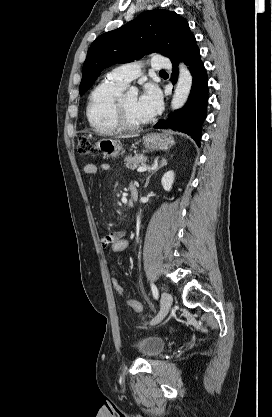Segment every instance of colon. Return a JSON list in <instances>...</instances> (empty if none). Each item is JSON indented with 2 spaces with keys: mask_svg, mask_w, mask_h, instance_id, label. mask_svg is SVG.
<instances>
[{
  "mask_svg": "<svg viewBox=\"0 0 272 417\" xmlns=\"http://www.w3.org/2000/svg\"><path fill=\"white\" fill-rule=\"evenodd\" d=\"M95 146L88 137H81L78 142V152L81 155H94ZM129 246V241L126 237H117L113 239L108 245L109 254H119L127 250ZM113 290L119 295L123 296L127 303L136 311L140 312L141 303L133 298H130L126 295L124 288L120 284L117 278L113 277L111 280Z\"/></svg>",
  "mask_w": 272,
  "mask_h": 417,
  "instance_id": "5ec220e1",
  "label": "colon"
}]
</instances>
